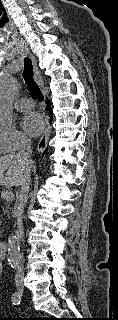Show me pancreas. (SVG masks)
Returning <instances> with one entry per match:
<instances>
[{
  "label": "pancreas",
  "instance_id": "1",
  "mask_svg": "<svg viewBox=\"0 0 118 320\" xmlns=\"http://www.w3.org/2000/svg\"><path fill=\"white\" fill-rule=\"evenodd\" d=\"M6 204H8V202H6ZM3 211H4V213H7V205H6V208ZM0 225H1V221H0ZM0 234H1V230H0Z\"/></svg>",
  "mask_w": 118,
  "mask_h": 320
}]
</instances>
